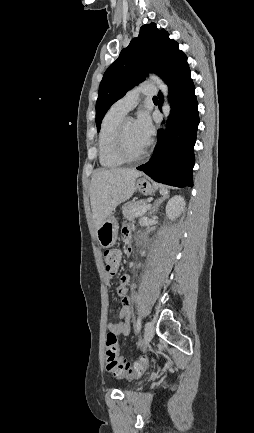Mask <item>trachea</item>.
<instances>
[{"instance_id":"3493384b","label":"trachea","mask_w":254,"mask_h":433,"mask_svg":"<svg viewBox=\"0 0 254 433\" xmlns=\"http://www.w3.org/2000/svg\"><path fill=\"white\" fill-rule=\"evenodd\" d=\"M153 100H157V97H156V96H154V97H153Z\"/></svg>"}]
</instances>
